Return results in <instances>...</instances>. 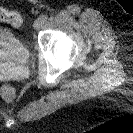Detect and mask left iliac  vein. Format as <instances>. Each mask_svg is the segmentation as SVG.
I'll return each mask as SVG.
<instances>
[{"mask_svg": "<svg viewBox=\"0 0 133 133\" xmlns=\"http://www.w3.org/2000/svg\"><path fill=\"white\" fill-rule=\"evenodd\" d=\"M43 21H42V19L41 18H38V19H36L35 21H34V24H33V27L35 28V29H39L42 25H43Z\"/></svg>", "mask_w": 133, "mask_h": 133, "instance_id": "obj_1", "label": "left iliac vein"}]
</instances>
